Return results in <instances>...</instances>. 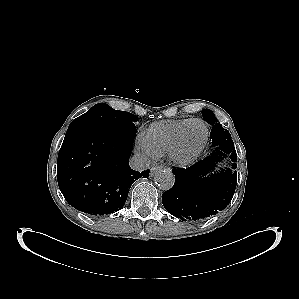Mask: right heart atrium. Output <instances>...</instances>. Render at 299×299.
I'll return each instance as SVG.
<instances>
[{
    "label": "right heart atrium",
    "mask_w": 299,
    "mask_h": 299,
    "mask_svg": "<svg viewBox=\"0 0 299 299\" xmlns=\"http://www.w3.org/2000/svg\"><path fill=\"white\" fill-rule=\"evenodd\" d=\"M138 152L144 158H152L156 156L153 150L146 144L142 136L138 140Z\"/></svg>",
    "instance_id": "1"
}]
</instances>
